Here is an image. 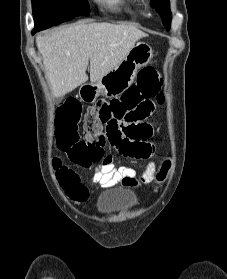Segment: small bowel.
I'll return each mask as SVG.
<instances>
[{
  "label": "small bowel",
  "mask_w": 227,
  "mask_h": 279,
  "mask_svg": "<svg viewBox=\"0 0 227 279\" xmlns=\"http://www.w3.org/2000/svg\"><path fill=\"white\" fill-rule=\"evenodd\" d=\"M112 145L123 156H127V146L125 143L130 144L132 141L125 137L124 133L120 132L117 137L111 140ZM155 169L154 163L146 165L144 171L137 176L136 171L129 166H119L112 156H105L101 164L95 169L91 185H100L101 187L108 188L118 183H122L129 186H135L136 184H147L151 182L153 172ZM62 172L59 173L61 176ZM89 196V190L87 187H83L75 195V199L78 202H84Z\"/></svg>",
  "instance_id": "obj_1"
}]
</instances>
